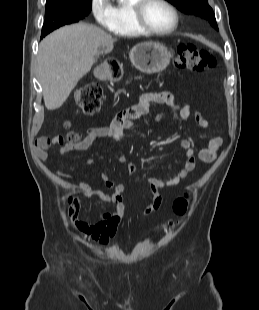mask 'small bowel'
Here are the masks:
<instances>
[{
	"label": "small bowel",
	"mask_w": 259,
	"mask_h": 310,
	"mask_svg": "<svg viewBox=\"0 0 259 310\" xmlns=\"http://www.w3.org/2000/svg\"><path fill=\"white\" fill-rule=\"evenodd\" d=\"M154 103L168 105L182 120L188 119L192 114H194L200 126H207L206 121L202 119L199 113L193 112L189 105H180L169 93L152 92L144 94L136 105L118 113L109 126L97 127L88 130L83 135L81 142L78 145L73 146L66 144L62 136L52 138L40 137L36 140L34 153L39 159L46 161L52 157L50 152V148L52 146H57L58 153L63 155L74 149L85 150L95 142L105 138L122 142L126 132L132 126V120L147 114ZM163 116V113L158 114L156 116V120H161ZM222 142L223 140L220 135L211 137L206 148L202 149L198 153L199 160L204 163L212 162L216 158ZM180 145L186 151V161L184 165L178 170V172L174 176L170 177L167 181H162L157 178L148 179L153 198L151 203L145 208L143 212L145 216L152 215L160 208L163 201L161 189L179 184L195 170L196 157L191 142L187 139H183ZM120 160L122 162H126L127 157L122 154ZM88 163L91 164L92 161H88ZM59 172L64 176H71V173L61 169ZM98 175L107 187L114 188L113 193L104 194L93 189L88 183L86 176L84 175L79 177L77 187L84 195L89 198H96L112 204L113 211L104 213L93 223H86L76 220L74 221L73 226L78 232L88 235L92 241L97 242L102 246H106L114 238L116 233L122 228L123 225L125 206L122 193L125 190L126 184L123 182H115L104 172H100Z\"/></svg>",
	"instance_id": "c3829d8e"
}]
</instances>
